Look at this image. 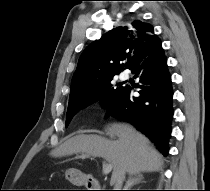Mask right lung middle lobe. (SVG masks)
Returning a JSON list of instances; mask_svg holds the SVG:
<instances>
[{
  "label": "right lung middle lobe",
  "mask_w": 210,
  "mask_h": 191,
  "mask_svg": "<svg viewBox=\"0 0 210 191\" xmlns=\"http://www.w3.org/2000/svg\"><path fill=\"white\" fill-rule=\"evenodd\" d=\"M115 75L116 74L111 75L106 79L102 80L96 87H94L88 93L74 97L69 100L66 115V127L68 126L73 116L86 106L100 101L102 106L104 108H107L116 99V97L124 89V86H121V84L115 85L112 83L113 77Z\"/></svg>",
  "instance_id": "right-lung-middle-lobe-1"
}]
</instances>
